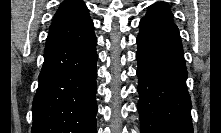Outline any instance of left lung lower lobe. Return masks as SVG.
Here are the masks:
<instances>
[{
	"label": "left lung lower lobe",
	"mask_w": 221,
	"mask_h": 133,
	"mask_svg": "<svg viewBox=\"0 0 221 133\" xmlns=\"http://www.w3.org/2000/svg\"><path fill=\"white\" fill-rule=\"evenodd\" d=\"M137 37L142 133H193L187 69L177 26L142 19Z\"/></svg>",
	"instance_id": "1"
}]
</instances>
